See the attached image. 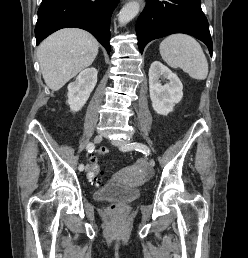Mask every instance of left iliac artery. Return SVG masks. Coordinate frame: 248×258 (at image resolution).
<instances>
[{
  "label": "left iliac artery",
  "instance_id": "left-iliac-artery-1",
  "mask_svg": "<svg viewBox=\"0 0 248 258\" xmlns=\"http://www.w3.org/2000/svg\"><path fill=\"white\" fill-rule=\"evenodd\" d=\"M120 149L122 151H128V150H131V149H135V150L140 151V152H142L143 154H146V155L151 154L150 149L145 144L137 143V142L129 143L126 147H121Z\"/></svg>",
  "mask_w": 248,
  "mask_h": 258
}]
</instances>
